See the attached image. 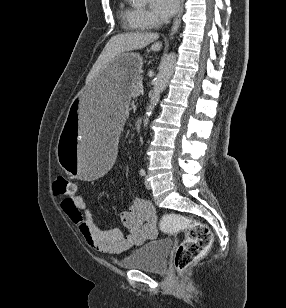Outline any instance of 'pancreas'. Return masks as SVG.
<instances>
[{
	"mask_svg": "<svg viewBox=\"0 0 286 308\" xmlns=\"http://www.w3.org/2000/svg\"><path fill=\"white\" fill-rule=\"evenodd\" d=\"M141 88H142V80L139 78L133 85L130 97H132L133 99L137 98L140 95Z\"/></svg>",
	"mask_w": 286,
	"mask_h": 308,
	"instance_id": "cf45deb5",
	"label": "pancreas"
}]
</instances>
